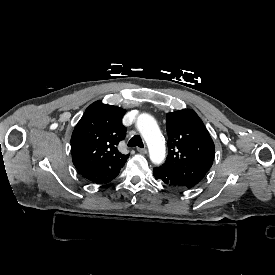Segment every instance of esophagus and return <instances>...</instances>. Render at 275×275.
<instances>
[{"label": "esophagus", "mask_w": 275, "mask_h": 275, "mask_svg": "<svg viewBox=\"0 0 275 275\" xmlns=\"http://www.w3.org/2000/svg\"><path fill=\"white\" fill-rule=\"evenodd\" d=\"M137 151L141 154H147V152H148L147 149L140 148V147L137 148Z\"/></svg>", "instance_id": "esophagus-1"}]
</instances>
